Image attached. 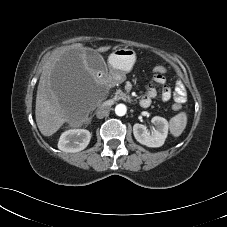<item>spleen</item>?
Instances as JSON below:
<instances>
[{"label":"spleen","mask_w":227,"mask_h":227,"mask_svg":"<svg viewBox=\"0 0 227 227\" xmlns=\"http://www.w3.org/2000/svg\"><path fill=\"white\" fill-rule=\"evenodd\" d=\"M187 124V115L181 112L170 120V131L172 135L178 137L182 134Z\"/></svg>","instance_id":"3e777b00"}]
</instances>
